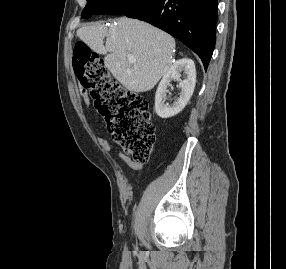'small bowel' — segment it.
Returning <instances> with one entry per match:
<instances>
[{"instance_id":"obj_1","label":"small bowel","mask_w":286,"mask_h":269,"mask_svg":"<svg viewBox=\"0 0 286 269\" xmlns=\"http://www.w3.org/2000/svg\"><path fill=\"white\" fill-rule=\"evenodd\" d=\"M104 145L107 147L109 146L106 141H104ZM120 156L130 168H132L134 170H141L143 168L142 163L136 162V161L130 159L129 157L124 156V155H120Z\"/></svg>"}]
</instances>
